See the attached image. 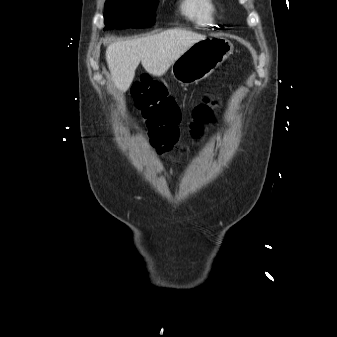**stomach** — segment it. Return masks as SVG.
<instances>
[{"label": "stomach", "mask_w": 337, "mask_h": 337, "mask_svg": "<svg viewBox=\"0 0 337 337\" xmlns=\"http://www.w3.org/2000/svg\"><path fill=\"white\" fill-rule=\"evenodd\" d=\"M225 38H205L191 45L174 63L171 73L181 84L197 83L208 77L232 53Z\"/></svg>", "instance_id": "stomach-1"}]
</instances>
